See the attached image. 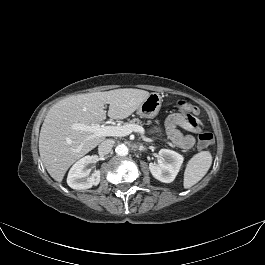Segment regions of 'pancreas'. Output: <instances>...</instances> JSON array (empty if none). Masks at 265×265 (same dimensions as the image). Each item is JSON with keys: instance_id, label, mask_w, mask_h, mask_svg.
Here are the masks:
<instances>
[{"instance_id": "cf45deb5", "label": "pancreas", "mask_w": 265, "mask_h": 265, "mask_svg": "<svg viewBox=\"0 0 265 265\" xmlns=\"http://www.w3.org/2000/svg\"><path fill=\"white\" fill-rule=\"evenodd\" d=\"M129 124L139 125V124H141V121L139 119L135 118V119H132Z\"/></svg>"}]
</instances>
